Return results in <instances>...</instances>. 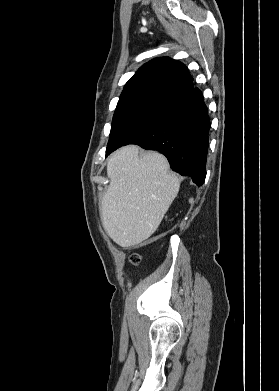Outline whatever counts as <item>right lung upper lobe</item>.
Returning <instances> with one entry per match:
<instances>
[{
    "instance_id": "right-lung-upper-lobe-1",
    "label": "right lung upper lobe",
    "mask_w": 279,
    "mask_h": 391,
    "mask_svg": "<svg viewBox=\"0 0 279 391\" xmlns=\"http://www.w3.org/2000/svg\"><path fill=\"white\" fill-rule=\"evenodd\" d=\"M194 88L187 67L168 57L145 63L126 83L116 111L136 106L163 107Z\"/></svg>"
}]
</instances>
